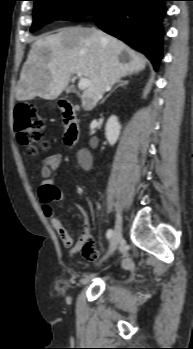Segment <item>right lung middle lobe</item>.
<instances>
[{
    "mask_svg": "<svg viewBox=\"0 0 193 349\" xmlns=\"http://www.w3.org/2000/svg\"><path fill=\"white\" fill-rule=\"evenodd\" d=\"M31 32L56 19L75 20L90 14L99 0H34ZM75 1L74 4L72 2Z\"/></svg>",
    "mask_w": 193,
    "mask_h": 349,
    "instance_id": "1",
    "label": "right lung middle lobe"
}]
</instances>
